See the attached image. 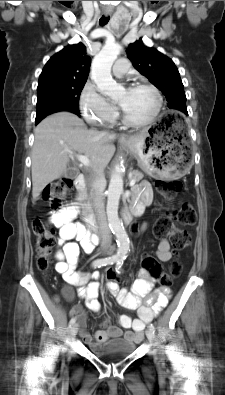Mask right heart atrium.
<instances>
[{
  "mask_svg": "<svg viewBox=\"0 0 225 395\" xmlns=\"http://www.w3.org/2000/svg\"><path fill=\"white\" fill-rule=\"evenodd\" d=\"M80 110L87 123L94 126H107L114 122V108L99 93L91 82H87L80 94Z\"/></svg>",
  "mask_w": 225,
  "mask_h": 395,
  "instance_id": "obj_1",
  "label": "right heart atrium"
}]
</instances>
